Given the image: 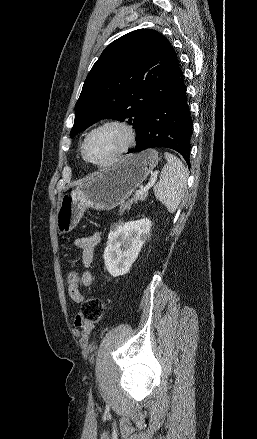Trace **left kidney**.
<instances>
[{"label": "left kidney", "mask_w": 257, "mask_h": 439, "mask_svg": "<svg viewBox=\"0 0 257 439\" xmlns=\"http://www.w3.org/2000/svg\"><path fill=\"white\" fill-rule=\"evenodd\" d=\"M151 225V221L144 218L111 228L103 255L105 269L111 276L128 273L149 237Z\"/></svg>", "instance_id": "5707ae66"}]
</instances>
